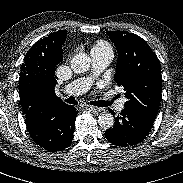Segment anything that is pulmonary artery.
I'll return each mask as SVG.
<instances>
[{
	"label": "pulmonary artery",
	"instance_id": "1",
	"mask_svg": "<svg viewBox=\"0 0 183 183\" xmlns=\"http://www.w3.org/2000/svg\"><path fill=\"white\" fill-rule=\"evenodd\" d=\"M93 62V75L96 76L103 71L111 62L113 55L108 52H92L91 53ZM92 78H79L69 83L65 88L64 92L71 95H80L86 92L91 86ZM125 99L120 100L117 103V110L122 111L124 109Z\"/></svg>",
	"mask_w": 183,
	"mask_h": 183
}]
</instances>
